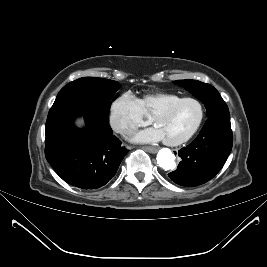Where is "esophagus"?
<instances>
[{
  "instance_id": "esophagus-1",
  "label": "esophagus",
  "mask_w": 267,
  "mask_h": 267,
  "mask_svg": "<svg viewBox=\"0 0 267 267\" xmlns=\"http://www.w3.org/2000/svg\"><path fill=\"white\" fill-rule=\"evenodd\" d=\"M143 149L150 153H156L159 150V148L157 147H150V146H145L143 147Z\"/></svg>"
}]
</instances>
